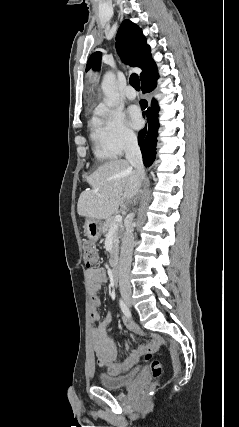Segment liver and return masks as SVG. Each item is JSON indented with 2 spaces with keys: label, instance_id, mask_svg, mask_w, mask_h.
<instances>
[{
  "label": "liver",
  "instance_id": "obj_1",
  "mask_svg": "<svg viewBox=\"0 0 239 427\" xmlns=\"http://www.w3.org/2000/svg\"><path fill=\"white\" fill-rule=\"evenodd\" d=\"M142 180L127 160L105 162L87 177L91 189L80 194L78 214L98 220L111 218L138 195Z\"/></svg>",
  "mask_w": 239,
  "mask_h": 427
}]
</instances>
